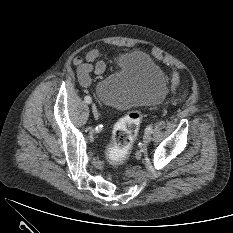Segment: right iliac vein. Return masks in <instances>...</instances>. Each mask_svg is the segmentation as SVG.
Masks as SVG:
<instances>
[{
	"mask_svg": "<svg viewBox=\"0 0 233 233\" xmlns=\"http://www.w3.org/2000/svg\"><path fill=\"white\" fill-rule=\"evenodd\" d=\"M92 112H93L95 119H98L100 114H99V111L97 110V108L94 104H92Z\"/></svg>",
	"mask_w": 233,
	"mask_h": 233,
	"instance_id": "63e3f726",
	"label": "right iliac vein"
}]
</instances>
